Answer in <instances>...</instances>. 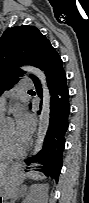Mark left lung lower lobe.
<instances>
[{"label":"left lung lower lobe","mask_w":89,"mask_h":203,"mask_svg":"<svg viewBox=\"0 0 89 203\" xmlns=\"http://www.w3.org/2000/svg\"><path fill=\"white\" fill-rule=\"evenodd\" d=\"M47 76L48 87L51 94L50 122L44 139L43 149L25 163L37 162V171L43 172L58 181L62 168V153L65 148L64 135L68 129L70 113L69 91L63 62L56 49L48 45L43 54L40 66ZM37 95L42 97L40 81L35 77ZM41 108V105H40Z\"/></svg>","instance_id":"left-lung-lower-lobe-1"}]
</instances>
